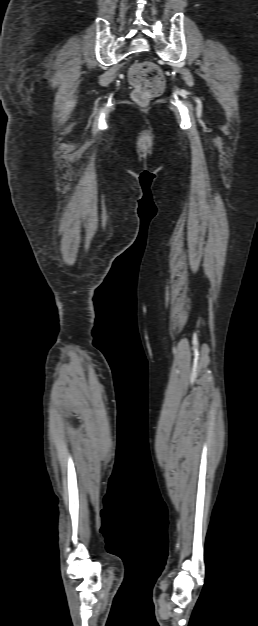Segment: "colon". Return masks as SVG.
<instances>
[{
  "instance_id": "1",
  "label": "colon",
  "mask_w": 258,
  "mask_h": 626,
  "mask_svg": "<svg viewBox=\"0 0 258 626\" xmlns=\"http://www.w3.org/2000/svg\"><path fill=\"white\" fill-rule=\"evenodd\" d=\"M129 78L134 87L132 98L139 105H147L164 88L162 72L151 62L143 61L134 64Z\"/></svg>"
}]
</instances>
